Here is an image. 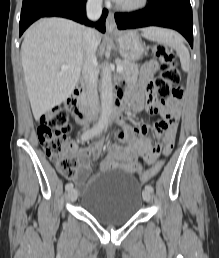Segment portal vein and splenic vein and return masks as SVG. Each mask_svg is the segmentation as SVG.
I'll list each match as a JSON object with an SVG mask.
<instances>
[{
	"mask_svg": "<svg viewBox=\"0 0 219 258\" xmlns=\"http://www.w3.org/2000/svg\"><path fill=\"white\" fill-rule=\"evenodd\" d=\"M70 67L69 66H67V65H63V66H61V69L62 70H67V69H69ZM123 70V66L122 65H117V72H121Z\"/></svg>",
	"mask_w": 219,
	"mask_h": 258,
	"instance_id": "18ae733b",
	"label": "portal vein and splenic vein"
}]
</instances>
